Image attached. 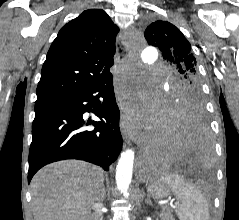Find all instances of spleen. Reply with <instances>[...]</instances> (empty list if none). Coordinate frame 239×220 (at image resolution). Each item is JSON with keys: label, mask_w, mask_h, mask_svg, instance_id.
Segmentation results:
<instances>
[{"label": "spleen", "mask_w": 239, "mask_h": 220, "mask_svg": "<svg viewBox=\"0 0 239 220\" xmlns=\"http://www.w3.org/2000/svg\"><path fill=\"white\" fill-rule=\"evenodd\" d=\"M157 182L166 183L177 197L176 214L180 220H209L210 212L202 193L175 173L162 175Z\"/></svg>", "instance_id": "obj_1"}]
</instances>
